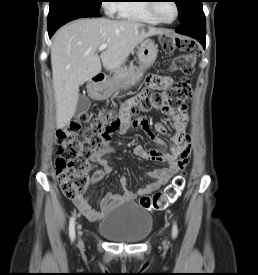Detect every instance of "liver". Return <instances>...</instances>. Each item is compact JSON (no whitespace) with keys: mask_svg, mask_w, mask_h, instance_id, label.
Wrapping results in <instances>:
<instances>
[{"mask_svg":"<svg viewBox=\"0 0 258 275\" xmlns=\"http://www.w3.org/2000/svg\"><path fill=\"white\" fill-rule=\"evenodd\" d=\"M163 31L137 21L82 18L61 27L51 50L57 128H64L76 112L79 87L101 71L120 68L145 38ZM107 44L100 57L98 48Z\"/></svg>","mask_w":258,"mask_h":275,"instance_id":"liver-1","label":"liver"}]
</instances>
